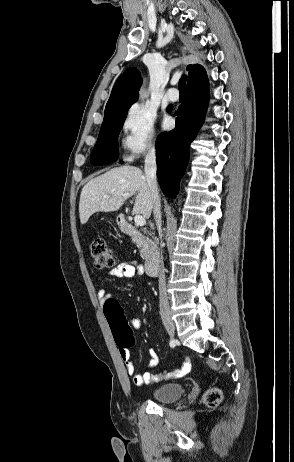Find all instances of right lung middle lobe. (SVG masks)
<instances>
[{"label": "right lung middle lobe", "instance_id": "obj_1", "mask_svg": "<svg viewBox=\"0 0 294 462\" xmlns=\"http://www.w3.org/2000/svg\"><path fill=\"white\" fill-rule=\"evenodd\" d=\"M126 116L127 111L104 118L97 143L90 158L93 164L104 165L117 159L115 155V152L118 151L116 139L122 129Z\"/></svg>", "mask_w": 294, "mask_h": 462}]
</instances>
